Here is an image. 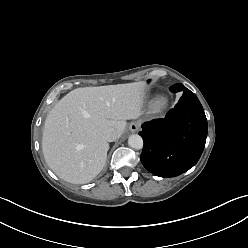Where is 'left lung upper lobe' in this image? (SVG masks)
<instances>
[{
  "label": "left lung upper lobe",
  "instance_id": "obj_1",
  "mask_svg": "<svg viewBox=\"0 0 248 248\" xmlns=\"http://www.w3.org/2000/svg\"><path fill=\"white\" fill-rule=\"evenodd\" d=\"M170 90H171L172 92H183V91L189 90V89H187L183 84H175V85H173V86L170 88Z\"/></svg>",
  "mask_w": 248,
  "mask_h": 248
}]
</instances>
